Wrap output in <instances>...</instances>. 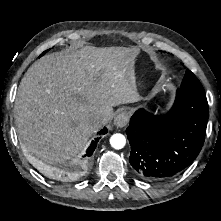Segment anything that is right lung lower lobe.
Returning a JSON list of instances; mask_svg holds the SVG:
<instances>
[{
	"instance_id": "1",
	"label": "right lung lower lobe",
	"mask_w": 221,
	"mask_h": 221,
	"mask_svg": "<svg viewBox=\"0 0 221 221\" xmlns=\"http://www.w3.org/2000/svg\"><path fill=\"white\" fill-rule=\"evenodd\" d=\"M107 133V129L104 128L100 132H98L99 135H104ZM99 141V138H96L95 141H92L90 144L89 148L87 149L86 154L84 155V160L81 162L77 163L74 166L71 167H66L63 169H47L46 171L55 179L60 180V181H71L73 179H76L80 177L83 172L86 169V165L89 162V157L92 155L94 152L97 142Z\"/></svg>"
}]
</instances>
